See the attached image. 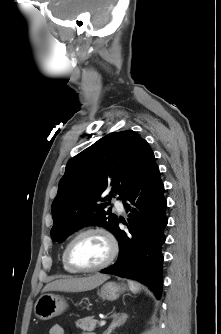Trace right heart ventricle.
Returning <instances> with one entry per match:
<instances>
[{"mask_svg": "<svg viewBox=\"0 0 221 334\" xmlns=\"http://www.w3.org/2000/svg\"><path fill=\"white\" fill-rule=\"evenodd\" d=\"M65 251V249H64ZM64 251L62 253V266L64 268L65 271L69 272V273H76L75 271H73L71 268H69L65 262V258H64Z\"/></svg>", "mask_w": 221, "mask_h": 334, "instance_id": "e07e8e85", "label": "right heart ventricle"}]
</instances>
